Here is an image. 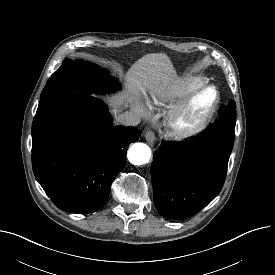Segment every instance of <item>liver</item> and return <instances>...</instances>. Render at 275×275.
<instances>
[{
  "mask_svg": "<svg viewBox=\"0 0 275 275\" xmlns=\"http://www.w3.org/2000/svg\"><path fill=\"white\" fill-rule=\"evenodd\" d=\"M175 76V69L169 57L164 53H150L136 61L125 75V91L121 94L107 97L114 115L123 107L128 106L129 94L142 87L153 88L159 81L168 80Z\"/></svg>",
  "mask_w": 275,
  "mask_h": 275,
  "instance_id": "1",
  "label": "liver"
}]
</instances>
